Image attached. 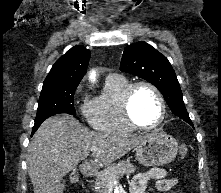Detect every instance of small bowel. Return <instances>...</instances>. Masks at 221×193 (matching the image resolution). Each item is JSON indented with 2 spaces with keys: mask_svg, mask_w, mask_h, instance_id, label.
<instances>
[{
  "mask_svg": "<svg viewBox=\"0 0 221 193\" xmlns=\"http://www.w3.org/2000/svg\"><path fill=\"white\" fill-rule=\"evenodd\" d=\"M150 180L156 181V187L160 192H167L179 183L177 177L169 178L164 168L155 167L147 172L138 173L132 178L130 193H145Z\"/></svg>",
  "mask_w": 221,
  "mask_h": 193,
  "instance_id": "small-bowel-1",
  "label": "small bowel"
}]
</instances>
